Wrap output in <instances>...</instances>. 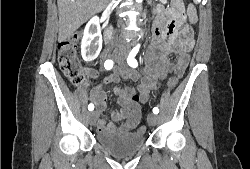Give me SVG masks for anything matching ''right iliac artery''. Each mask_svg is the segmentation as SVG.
Returning <instances> with one entry per match:
<instances>
[{
    "mask_svg": "<svg viewBox=\"0 0 250 169\" xmlns=\"http://www.w3.org/2000/svg\"><path fill=\"white\" fill-rule=\"evenodd\" d=\"M104 67L107 70L112 69V67H113V61L112 60H106L105 63H104ZM93 109H94V105L93 104H89L88 105V110L92 111Z\"/></svg>",
    "mask_w": 250,
    "mask_h": 169,
    "instance_id": "1",
    "label": "right iliac artery"
}]
</instances>
